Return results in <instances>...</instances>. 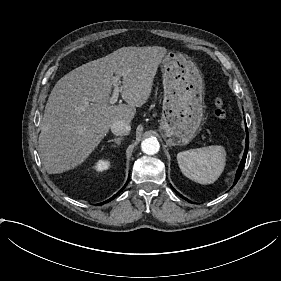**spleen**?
<instances>
[{
    "label": "spleen",
    "mask_w": 281,
    "mask_h": 281,
    "mask_svg": "<svg viewBox=\"0 0 281 281\" xmlns=\"http://www.w3.org/2000/svg\"><path fill=\"white\" fill-rule=\"evenodd\" d=\"M224 147L212 145L179 152L177 161L182 173L191 180L203 184L214 183L224 170L226 162Z\"/></svg>",
    "instance_id": "1"
}]
</instances>
